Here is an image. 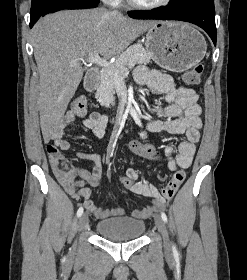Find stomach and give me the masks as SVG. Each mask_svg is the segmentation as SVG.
Instances as JSON below:
<instances>
[{"instance_id": "1", "label": "stomach", "mask_w": 247, "mask_h": 280, "mask_svg": "<svg viewBox=\"0 0 247 280\" xmlns=\"http://www.w3.org/2000/svg\"><path fill=\"white\" fill-rule=\"evenodd\" d=\"M147 52L160 67L184 72L205 56L207 44L193 26L182 22L158 21L146 34Z\"/></svg>"}]
</instances>
